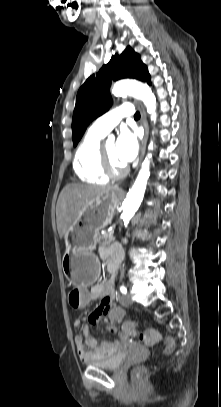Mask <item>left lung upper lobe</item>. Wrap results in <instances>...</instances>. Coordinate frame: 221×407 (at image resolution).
Masks as SVG:
<instances>
[{"instance_id":"obj_1","label":"left lung upper lobe","mask_w":221,"mask_h":407,"mask_svg":"<svg viewBox=\"0 0 221 407\" xmlns=\"http://www.w3.org/2000/svg\"><path fill=\"white\" fill-rule=\"evenodd\" d=\"M122 78H134L150 84L147 66L129 46L120 56H113L108 64L97 74L90 76L79 89L72 122L74 146L78 144L90 122L111 106V80Z\"/></svg>"}]
</instances>
